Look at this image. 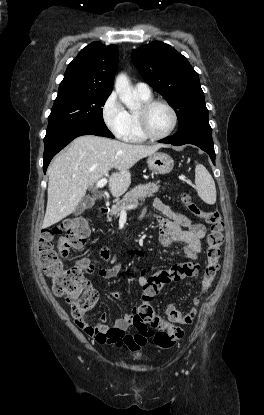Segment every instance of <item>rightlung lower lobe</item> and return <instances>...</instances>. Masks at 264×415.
<instances>
[{"mask_svg":"<svg viewBox=\"0 0 264 415\" xmlns=\"http://www.w3.org/2000/svg\"><path fill=\"white\" fill-rule=\"evenodd\" d=\"M82 135H96L104 136L109 138H114L112 133L107 129V127H96V126H82L69 131H66L62 134H59L53 138H50L46 141L44 147V156H43V170L46 173L47 167L51 159L66 145H68L74 138Z\"/></svg>","mask_w":264,"mask_h":415,"instance_id":"obj_1","label":"right lung lower lobe"}]
</instances>
